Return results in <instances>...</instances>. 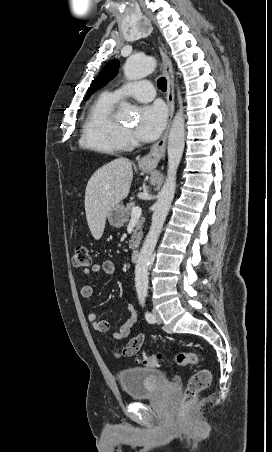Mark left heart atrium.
I'll use <instances>...</instances> for the list:
<instances>
[{"instance_id": "left-heart-atrium-1", "label": "left heart atrium", "mask_w": 272, "mask_h": 452, "mask_svg": "<svg viewBox=\"0 0 272 452\" xmlns=\"http://www.w3.org/2000/svg\"><path fill=\"white\" fill-rule=\"evenodd\" d=\"M166 117V110L162 104L154 103L144 106L139 113L137 136L145 141L156 139L164 129Z\"/></svg>"}]
</instances>
